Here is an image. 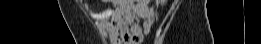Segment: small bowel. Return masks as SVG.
Here are the masks:
<instances>
[{"label":"small bowel","mask_w":261,"mask_h":44,"mask_svg":"<svg viewBox=\"0 0 261 44\" xmlns=\"http://www.w3.org/2000/svg\"><path fill=\"white\" fill-rule=\"evenodd\" d=\"M136 2V6H117V9L112 11L108 29L114 43L140 44L142 42L143 31L140 21L146 17L148 7L143 1Z\"/></svg>","instance_id":"obj_1"}]
</instances>
